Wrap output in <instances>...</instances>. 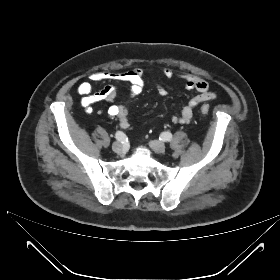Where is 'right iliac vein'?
<instances>
[{
    "instance_id": "63e3f726",
    "label": "right iliac vein",
    "mask_w": 280,
    "mask_h": 280,
    "mask_svg": "<svg viewBox=\"0 0 280 280\" xmlns=\"http://www.w3.org/2000/svg\"><path fill=\"white\" fill-rule=\"evenodd\" d=\"M112 150L115 153H119L120 154V153H122L124 151V148H123V145L120 142H115L112 145Z\"/></svg>"
}]
</instances>
